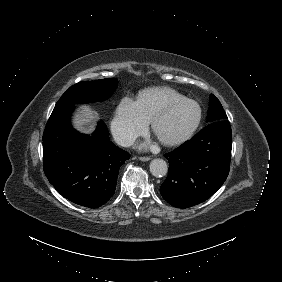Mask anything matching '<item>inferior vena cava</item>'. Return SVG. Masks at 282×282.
I'll return each mask as SVG.
<instances>
[{
	"label": "inferior vena cava",
	"mask_w": 282,
	"mask_h": 282,
	"mask_svg": "<svg viewBox=\"0 0 282 282\" xmlns=\"http://www.w3.org/2000/svg\"><path fill=\"white\" fill-rule=\"evenodd\" d=\"M113 134V138L115 140V142L123 147H130L134 144L135 140H136V136H134L131 132H129L128 130H118V129H114L112 131Z\"/></svg>",
	"instance_id": "inferior-vena-cava-1"
}]
</instances>
